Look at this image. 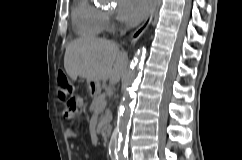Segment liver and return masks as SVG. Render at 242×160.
Returning <instances> with one entry per match:
<instances>
[{
    "label": "liver",
    "mask_w": 242,
    "mask_h": 160,
    "mask_svg": "<svg viewBox=\"0 0 242 160\" xmlns=\"http://www.w3.org/2000/svg\"><path fill=\"white\" fill-rule=\"evenodd\" d=\"M127 54L119 46L105 39L81 37L66 47L64 68L70 78L87 81H106L115 85L125 73Z\"/></svg>",
    "instance_id": "1"
}]
</instances>
